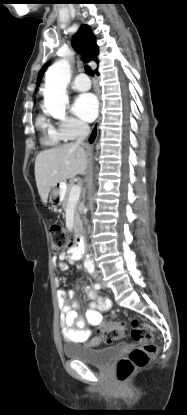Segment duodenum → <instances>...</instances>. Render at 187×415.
<instances>
[{"label": "duodenum", "mask_w": 187, "mask_h": 415, "mask_svg": "<svg viewBox=\"0 0 187 415\" xmlns=\"http://www.w3.org/2000/svg\"><path fill=\"white\" fill-rule=\"evenodd\" d=\"M74 232H75V244H74V252L72 253V258H77L79 255V252L81 251L83 247V238L82 234L79 228V225L77 222L73 225Z\"/></svg>", "instance_id": "obj_1"}]
</instances>
